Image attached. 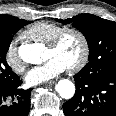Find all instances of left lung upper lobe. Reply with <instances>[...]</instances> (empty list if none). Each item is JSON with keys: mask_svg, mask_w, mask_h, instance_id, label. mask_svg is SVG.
I'll return each instance as SVG.
<instances>
[{"mask_svg": "<svg viewBox=\"0 0 116 116\" xmlns=\"http://www.w3.org/2000/svg\"><path fill=\"white\" fill-rule=\"evenodd\" d=\"M60 23H72L86 38L89 62L79 72L86 77L116 73V22L92 14H81Z\"/></svg>", "mask_w": 116, "mask_h": 116, "instance_id": "5c2ea615", "label": "left lung upper lobe"}]
</instances>
